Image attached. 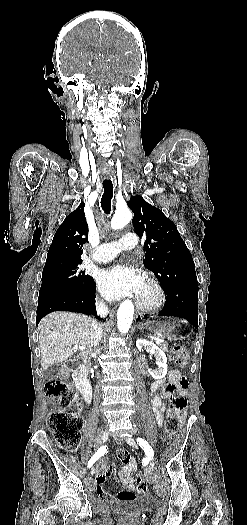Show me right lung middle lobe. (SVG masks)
I'll use <instances>...</instances> for the list:
<instances>
[{
    "label": "right lung middle lobe",
    "mask_w": 247,
    "mask_h": 525,
    "mask_svg": "<svg viewBox=\"0 0 247 525\" xmlns=\"http://www.w3.org/2000/svg\"><path fill=\"white\" fill-rule=\"evenodd\" d=\"M92 280L78 265L43 271L39 299L54 294L83 292Z\"/></svg>",
    "instance_id": "obj_1"
}]
</instances>
